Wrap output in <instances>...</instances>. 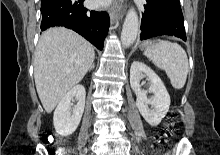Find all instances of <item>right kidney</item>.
Instances as JSON below:
<instances>
[{"label":"right kidney","instance_id":"1","mask_svg":"<svg viewBox=\"0 0 220 155\" xmlns=\"http://www.w3.org/2000/svg\"><path fill=\"white\" fill-rule=\"evenodd\" d=\"M86 91L84 86L76 85L60 101L55 109L53 124L61 136H69L77 129L85 108ZM77 100V105L71 109V100Z\"/></svg>","mask_w":220,"mask_h":155}]
</instances>
